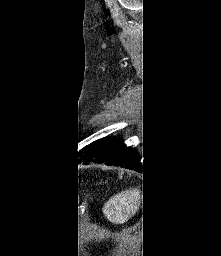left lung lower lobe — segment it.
I'll list each match as a JSON object with an SVG mask.
<instances>
[{
  "instance_id": "0a47b994",
  "label": "left lung lower lobe",
  "mask_w": 221,
  "mask_h": 256,
  "mask_svg": "<svg viewBox=\"0 0 221 256\" xmlns=\"http://www.w3.org/2000/svg\"><path fill=\"white\" fill-rule=\"evenodd\" d=\"M73 159L75 161L87 160L106 165H117L146 172L145 164L140 163V157L137 150L127 147L121 137H105L83 146L78 150Z\"/></svg>"
}]
</instances>
